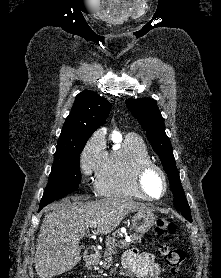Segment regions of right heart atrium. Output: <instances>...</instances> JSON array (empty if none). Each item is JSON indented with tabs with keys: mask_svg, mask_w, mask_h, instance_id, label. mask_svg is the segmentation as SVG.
Instances as JSON below:
<instances>
[{
	"mask_svg": "<svg viewBox=\"0 0 221 278\" xmlns=\"http://www.w3.org/2000/svg\"><path fill=\"white\" fill-rule=\"evenodd\" d=\"M106 154L104 134L95 132L80 153V169L83 175L96 176L104 164Z\"/></svg>",
	"mask_w": 221,
	"mask_h": 278,
	"instance_id": "obj_1",
	"label": "right heart atrium"
}]
</instances>
